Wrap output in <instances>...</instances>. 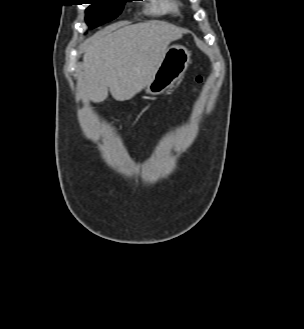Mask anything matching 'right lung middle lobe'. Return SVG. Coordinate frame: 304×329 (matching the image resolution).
<instances>
[{
	"instance_id": "1",
	"label": "right lung middle lobe",
	"mask_w": 304,
	"mask_h": 329,
	"mask_svg": "<svg viewBox=\"0 0 304 329\" xmlns=\"http://www.w3.org/2000/svg\"><path fill=\"white\" fill-rule=\"evenodd\" d=\"M127 1L130 0H90L91 5L86 9L87 24L92 29L115 19Z\"/></svg>"
}]
</instances>
